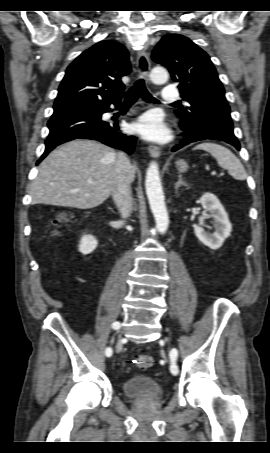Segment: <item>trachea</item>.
<instances>
[{
	"instance_id": "1",
	"label": "trachea",
	"mask_w": 270,
	"mask_h": 453,
	"mask_svg": "<svg viewBox=\"0 0 270 453\" xmlns=\"http://www.w3.org/2000/svg\"><path fill=\"white\" fill-rule=\"evenodd\" d=\"M141 96L145 101L150 103H159L147 90L145 82L143 79L137 80L134 85L127 91L125 95L124 105L134 104L138 98ZM178 102H175L177 104Z\"/></svg>"
}]
</instances>
